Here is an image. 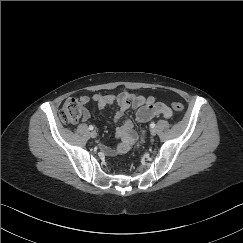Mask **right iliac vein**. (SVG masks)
<instances>
[{"instance_id": "63e3f726", "label": "right iliac vein", "mask_w": 243, "mask_h": 243, "mask_svg": "<svg viewBox=\"0 0 243 243\" xmlns=\"http://www.w3.org/2000/svg\"><path fill=\"white\" fill-rule=\"evenodd\" d=\"M90 136H91L92 138H95V137L97 136L96 131H91Z\"/></svg>"}]
</instances>
